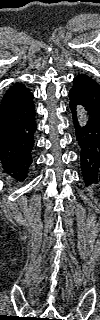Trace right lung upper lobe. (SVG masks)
I'll return each instance as SVG.
<instances>
[{
  "mask_svg": "<svg viewBox=\"0 0 100 320\" xmlns=\"http://www.w3.org/2000/svg\"><path fill=\"white\" fill-rule=\"evenodd\" d=\"M24 89H26V87L23 84L17 82L7 90L5 96H12V95L19 94Z\"/></svg>",
  "mask_w": 100,
  "mask_h": 320,
  "instance_id": "obj_1",
  "label": "right lung upper lobe"
}]
</instances>
